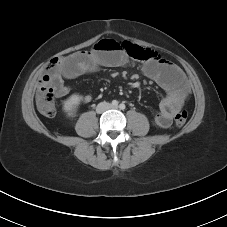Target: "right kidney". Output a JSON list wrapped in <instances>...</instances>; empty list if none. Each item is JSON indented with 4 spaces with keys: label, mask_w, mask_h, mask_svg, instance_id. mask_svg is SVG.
<instances>
[{
    "label": "right kidney",
    "mask_w": 227,
    "mask_h": 227,
    "mask_svg": "<svg viewBox=\"0 0 227 227\" xmlns=\"http://www.w3.org/2000/svg\"><path fill=\"white\" fill-rule=\"evenodd\" d=\"M80 96L77 94L71 95L63 105V110L67 113L68 116H73L80 104Z\"/></svg>",
    "instance_id": "1"
}]
</instances>
